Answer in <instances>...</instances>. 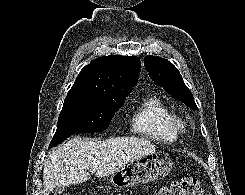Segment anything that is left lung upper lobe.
Wrapping results in <instances>:
<instances>
[{
  "instance_id": "1",
  "label": "left lung upper lobe",
  "mask_w": 245,
  "mask_h": 195,
  "mask_svg": "<svg viewBox=\"0 0 245 195\" xmlns=\"http://www.w3.org/2000/svg\"><path fill=\"white\" fill-rule=\"evenodd\" d=\"M145 69L150 78L162 86L173 98L180 100L192 109H197L191 91L185 85L178 69L168 60L161 57L146 56L144 58Z\"/></svg>"
}]
</instances>
